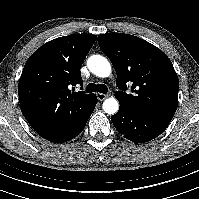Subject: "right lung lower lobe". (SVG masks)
Returning a JSON list of instances; mask_svg holds the SVG:
<instances>
[{
  "instance_id": "98d812e1",
  "label": "right lung lower lobe",
  "mask_w": 199,
  "mask_h": 199,
  "mask_svg": "<svg viewBox=\"0 0 199 199\" xmlns=\"http://www.w3.org/2000/svg\"><path fill=\"white\" fill-rule=\"evenodd\" d=\"M96 103H97V97L94 94V97L92 98L88 108L86 109L85 112H83V114L77 120L59 130L40 134V136L48 141L55 143H62L75 138L84 129L90 115L92 114L96 106Z\"/></svg>"
}]
</instances>
